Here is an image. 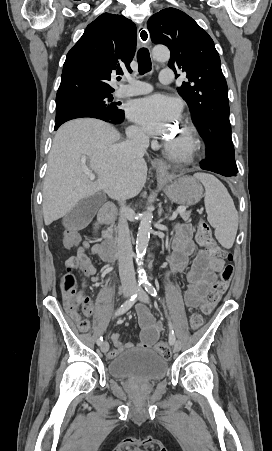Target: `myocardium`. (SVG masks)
Masks as SVG:
<instances>
[{"label": "myocardium", "mask_w": 272, "mask_h": 451, "mask_svg": "<svg viewBox=\"0 0 272 451\" xmlns=\"http://www.w3.org/2000/svg\"><path fill=\"white\" fill-rule=\"evenodd\" d=\"M186 134V140L182 144L174 146V152L176 155H186L191 153L196 145V133L195 130L189 125H184L183 128Z\"/></svg>", "instance_id": "obj_1"}]
</instances>
